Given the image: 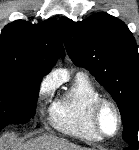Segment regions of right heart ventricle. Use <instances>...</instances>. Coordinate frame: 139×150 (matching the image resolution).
Listing matches in <instances>:
<instances>
[{"label":"right heart ventricle","mask_w":139,"mask_h":150,"mask_svg":"<svg viewBox=\"0 0 139 150\" xmlns=\"http://www.w3.org/2000/svg\"><path fill=\"white\" fill-rule=\"evenodd\" d=\"M100 92L83 74H78L70 88L48 109L50 124L57 130L86 140L102 138L94 130L90 111Z\"/></svg>","instance_id":"e07e8e85"}]
</instances>
